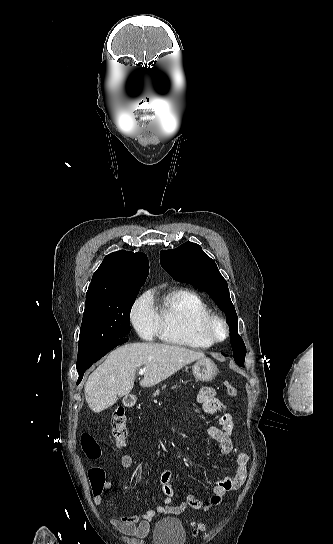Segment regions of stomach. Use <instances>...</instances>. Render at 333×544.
<instances>
[{
	"instance_id": "stomach-1",
	"label": "stomach",
	"mask_w": 333,
	"mask_h": 544,
	"mask_svg": "<svg viewBox=\"0 0 333 544\" xmlns=\"http://www.w3.org/2000/svg\"><path fill=\"white\" fill-rule=\"evenodd\" d=\"M192 371L195 379L202 382L211 381L218 373L215 363L207 358L197 360Z\"/></svg>"
}]
</instances>
